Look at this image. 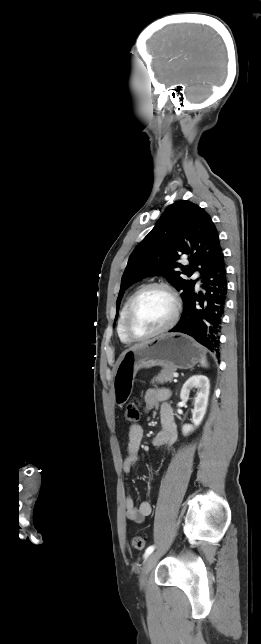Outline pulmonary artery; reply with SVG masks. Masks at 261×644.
Returning <instances> with one entry per match:
<instances>
[{"label": "pulmonary artery", "instance_id": "pulmonary-artery-1", "mask_svg": "<svg viewBox=\"0 0 261 644\" xmlns=\"http://www.w3.org/2000/svg\"><path fill=\"white\" fill-rule=\"evenodd\" d=\"M198 276H199L198 274H195V275H194V277H195V278H198ZM198 285H201V281H200V280H198Z\"/></svg>", "mask_w": 261, "mask_h": 644}]
</instances>
